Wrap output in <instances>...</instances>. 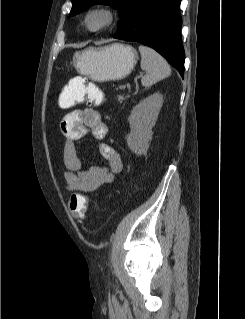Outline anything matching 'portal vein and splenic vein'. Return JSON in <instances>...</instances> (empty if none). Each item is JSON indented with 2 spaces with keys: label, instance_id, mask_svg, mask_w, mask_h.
<instances>
[{
  "label": "portal vein and splenic vein",
  "instance_id": "1",
  "mask_svg": "<svg viewBox=\"0 0 245 319\" xmlns=\"http://www.w3.org/2000/svg\"><path fill=\"white\" fill-rule=\"evenodd\" d=\"M125 88H126L125 85H120V86H119V89H125Z\"/></svg>",
  "mask_w": 245,
  "mask_h": 319
}]
</instances>
